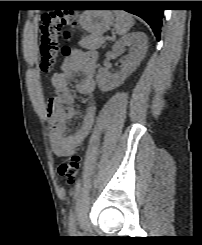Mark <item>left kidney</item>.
Segmentation results:
<instances>
[{
    "instance_id": "5707ae66",
    "label": "left kidney",
    "mask_w": 202,
    "mask_h": 245,
    "mask_svg": "<svg viewBox=\"0 0 202 245\" xmlns=\"http://www.w3.org/2000/svg\"><path fill=\"white\" fill-rule=\"evenodd\" d=\"M125 47H129L130 54L122 62L121 71L111 74L106 68H100L96 80L101 91L107 92L124 83L145 57L148 48V38L143 32H133L118 40L112 47L114 55H121Z\"/></svg>"
}]
</instances>
